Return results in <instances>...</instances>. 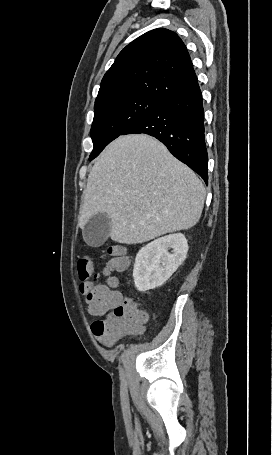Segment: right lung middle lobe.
<instances>
[{"label":"right lung middle lobe","mask_w":272,"mask_h":455,"mask_svg":"<svg viewBox=\"0 0 272 455\" xmlns=\"http://www.w3.org/2000/svg\"><path fill=\"white\" fill-rule=\"evenodd\" d=\"M163 99L149 96H135L94 107V120L91 127L93 160L115 138L126 129L150 114Z\"/></svg>","instance_id":"obj_1"}]
</instances>
